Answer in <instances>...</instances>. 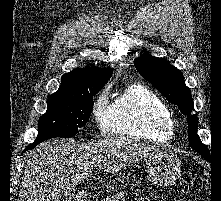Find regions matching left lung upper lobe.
Instances as JSON below:
<instances>
[{
    "instance_id": "5c2ea615",
    "label": "left lung upper lobe",
    "mask_w": 221,
    "mask_h": 201,
    "mask_svg": "<svg viewBox=\"0 0 221 201\" xmlns=\"http://www.w3.org/2000/svg\"><path fill=\"white\" fill-rule=\"evenodd\" d=\"M134 64L144 79L148 80L170 102L176 104L187 116L190 146L205 159L210 160V152L197 134L198 118L196 114H191L194 104L181 71L172 66L169 61L153 57L148 53L135 59Z\"/></svg>"
}]
</instances>
